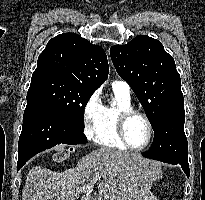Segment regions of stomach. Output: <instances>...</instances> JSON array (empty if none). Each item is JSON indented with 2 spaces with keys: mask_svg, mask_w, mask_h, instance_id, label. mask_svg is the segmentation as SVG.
<instances>
[{
  "mask_svg": "<svg viewBox=\"0 0 205 200\" xmlns=\"http://www.w3.org/2000/svg\"><path fill=\"white\" fill-rule=\"evenodd\" d=\"M138 200H158L155 195H153L150 191L145 193L141 198Z\"/></svg>",
  "mask_w": 205,
  "mask_h": 200,
  "instance_id": "1",
  "label": "stomach"
}]
</instances>
